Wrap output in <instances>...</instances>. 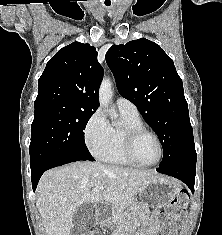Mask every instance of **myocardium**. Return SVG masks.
<instances>
[{
  "label": "myocardium",
  "mask_w": 222,
  "mask_h": 235,
  "mask_svg": "<svg viewBox=\"0 0 222 235\" xmlns=\"http://www.w3.org/2000/svg\"><path fill=\"white\" fill-rule=\"evenodd\" d=\"M148 134L152 136L156 142L158 143L159 146V157L158 159L153 162V163H141L136 159L135 156V145L138 141V139L145 135ZM122 152L126 160L137 167H143V168H148V167H153L158 165L163 157H164V146L163 143L160 139V137L152 130L149 128L145 127L144 125H134V126H126L122 130Z\"/></svg>",
  "instance_id": "1"
}]
</instances>
